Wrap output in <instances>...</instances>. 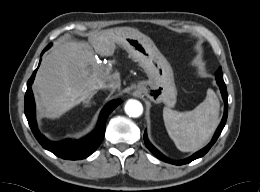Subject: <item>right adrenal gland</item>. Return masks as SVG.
I'll return each mask as SVG.
<instances>
[{
	"mask_svg": "<svg viewBox=\"0 0 260 192\" xmlns=\"http://www.w3.org/2000/svg\"><path fill=\"white\" fill-rule=\"evenodd\" d=\"M96 92H94V94H95ZM92 98V96L89 98V99H87L86 101H84L85 103H87V102H90V99ZM94 103V102H93ZM95 104V103H94Z\"/></svg>",
	"mask_w": 260,
	"mask_h": 192,
	"instance_id": "obj_1",
	"label": "right adrenal gland"
}]
</instances>
